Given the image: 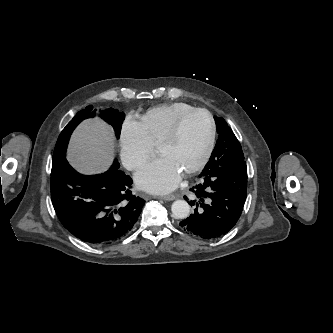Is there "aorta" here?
I'll use <instances>...</instances> for the list:
<instances>
[{
	"mask_svg": "<svg viewBox=\"0 0 333 333\" xmlns=\"http://www.w3.org/2000/svg\"><path fill=\"white\" fill-rule=\"evenodd\" d=\"M173 215L178 219H185L190 214V206L184 200H176L171 207Z\"/></svg>",
	"mask_w": 333,
	"mask_h": 333,
	"instance_id": "obj_1",
	"label": "aorta"
}]
</instances>
